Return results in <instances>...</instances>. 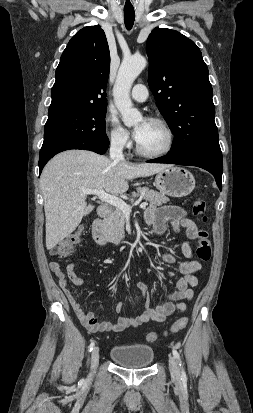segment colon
<instances>
[{
	"label": "colon",
	"instance_id": "5ec220e1",
	"mask_svg": "<svg viewBox=\"0 0 253 413\" xmlns=\"http://www.w3.org/2000/svg\"><path fill=\"white\" fill-rule=\"evenodd\" d=\"M206 202L203 198H196L193 202L192 211L195 217L200 222L207 221L206 215ZM82 236V229L79 228L76 231L70 233L65 238H63L56 246L51 249V254L67 257L69 256L75 245H77ZM198 239V247L196 249L197 257L204 262H207L211 258V243L209 240L208 232L205 229H199L196 233ZM188 319L186 317H181L176 320L168 332L166 333H177L185 328L187 325ZM159 338V334L156 332H151L147 335V340L149 342H155Z\"/></svg>",
	"mask_w": 253,
	"mask_h": 413
}]
</instances>
